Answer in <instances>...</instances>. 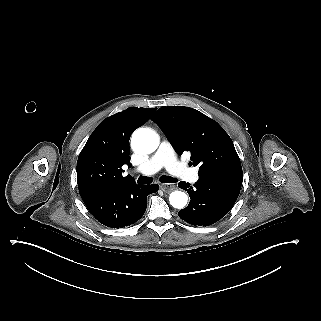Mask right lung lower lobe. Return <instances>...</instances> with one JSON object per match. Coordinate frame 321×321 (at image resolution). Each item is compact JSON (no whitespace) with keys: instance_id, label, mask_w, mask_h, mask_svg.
I'll use <instances>...</instances> for the list:
<instances>
[{"instance_id":"obj_1","label":"right lung lower lobe","mask_w":321,"mask_h":321,"mask_svg":"<svg viewBox=\"0 0 321 321\" xmlns=\"http://www.w3.org/2000/svg\"><path fill=\"white\" fill-rule=\"evenodd\" d=\"M159 186L132 184L122 189L83 199L90 213L103 225L123 228L137 222L147 208L146 198Z\"/></svg>"}]
</instances>
